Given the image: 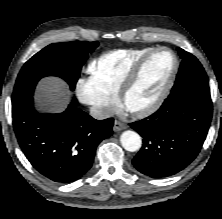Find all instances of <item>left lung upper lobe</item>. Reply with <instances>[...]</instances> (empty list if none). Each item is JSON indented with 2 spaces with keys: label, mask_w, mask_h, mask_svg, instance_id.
Here are the masks:
<instances>
[{
  "label": "left lung upper lobe",
  "mask_w": 222,
  "mask_h": 219,
  "mask_svg": "<svg viewBox=\"0 0 222 219\" xmlns=\"http://www.w3.org/2000/svg\"><path fill=\"white\" fill-rule=\"evenodd\" d=\"M178 52L182 62L171 94L193 92L210 99L208 78L200 62L181 48H178Z\"/></svg>",
  "instance_id": "1"
}]
</instances>
